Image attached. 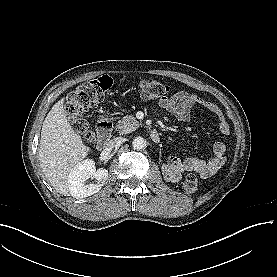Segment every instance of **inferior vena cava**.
Returning a JSON list of instances; mask_svg holds the SVG:
<instances>
[{"instance_id": "1", "label": "inferior vena cava", "mask_w": 277, "mask_h": 277, "mask_svg": "<svg viewBox=\"0 0 277 277\" xmlns=\"http://www.w3.org/2000/svg\"><path fill=\"white\" fill-rule=\"evenodd\" d=\"M120 143H121V138L119 137L113 138L108 142H106L105 150L112 151L114 148H117L120 145Z\"/></svg>"}]
</instances>
